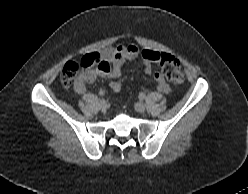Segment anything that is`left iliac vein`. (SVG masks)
<instances>
[{"label": "left iliac vein", "instance_id": "obj_1", "mask_svg": "<svg viewBox=\"0 0 248 194\" xmlns=\"http://www.w3.org/2000/svg\"><path fill=\"white\" fill-rule=\"evenodd\" d=\"M135 110L139 113H144L146 111V107L144 104L138 102L135 104Z\"/></svg>", "mask_w": 248, "mask_h": 194}]
</instances>
